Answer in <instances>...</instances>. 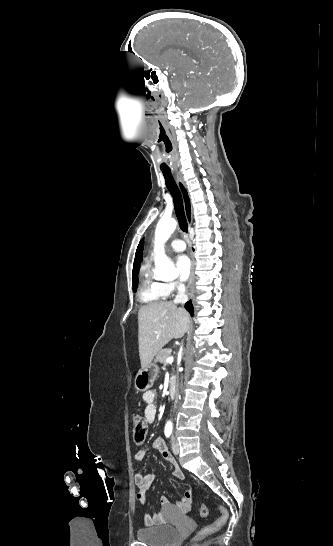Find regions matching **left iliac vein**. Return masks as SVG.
Masks as SVG:
<instances>
[{"instance_id":"4c4485c4","label":"left iliac vein","mask_w":333,"mask_h":546,"mask_svg":"<svg viewBox=\"0 0 333 546\" xmlns=\"http://www.w3.org/2000/svg\"><path fill=\"white\" fill-rule=\"evenodd\" d=\"M172 451L175 455H178L179 454V444L177 442V440L175 439V437L173 436L172 439Z\"/></svg>"}]
</instances>
